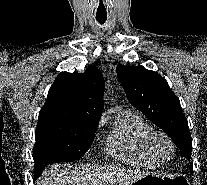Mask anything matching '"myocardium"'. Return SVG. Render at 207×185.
I'll return each mask as SVG.
<instances>
[{
  "label": "myocardium",
  "mask_w": 207,
  "mask_h": 185,
  "mask_svg": "<svg viewBox=\"0 0 207 185\" xmlns=\"http://www.w3.org/2000/svg\"><path fill=\"white\" fill-rule=\"evenodd\" d=\"M165 140L171 147V153L169 156H164L157 147V140ZM147 147L150 152L160 161H170L176 153V145L172 138L162 130L152 129L146 137Z\"/></svg>",
  "instance_id": "1"
}]
</instances>
